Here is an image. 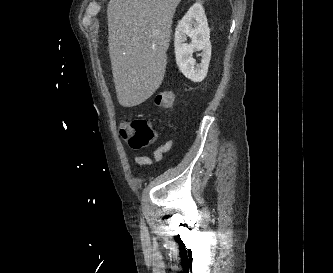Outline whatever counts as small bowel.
<instances>
[{"instance_id":"1","label":"small bowel","mask_w":333,"mask_h":273,"mask_svg":"<svg viewBox=\"0 0 333 273\" xmlns=\"http://www.w3.org/2000/svg\"><path fill=\"white\" fill-rule=\"evenodd\" d=\"M173 147V140H167L158 146L153 152V158L144 155L135 156V162L139 165H152L160 162L163 159L164 154L169 152Z\"/></svg>"}]
</instances>
